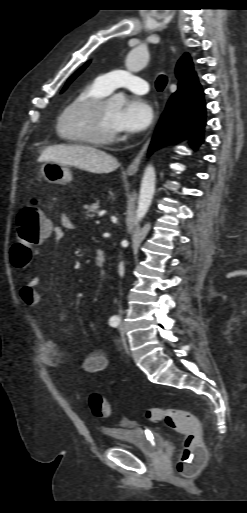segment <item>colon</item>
I'll return each mask as SVG.
<instances>
[{
  "label": "colon",
  "instance_id": "5ec220e1",
  "mask_svg": "<svg viewBox=\"0 0 247 513\" xmlns=\"http://www.w3.org/2000/svg\"><path fill=\"white\" fill-rule=\"evenodd\" d=\"M52 224L44 215L37 199H32L19 212L16 236L10 251V260L14 268L26 267L34 255V248L51 231ZM89 407L94 416L109 417L111 407L108 401L98 393L89 396ZM145 416L149 421L164 423L184 435L183 448L179 455L176 471L183 476H194L202 467L206 458V449L202 441V429L197 417L185 410L150 407Z\"/></svg>",
  "mask_w": 247,
  "mask_h": 513
}]
</instances>
